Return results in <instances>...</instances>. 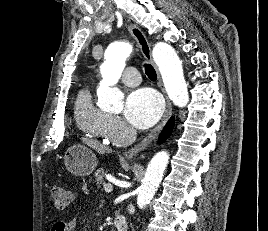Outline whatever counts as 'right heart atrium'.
<instances>
[{
    "instance_id": "1",
    "label": "right heart atrium",
    "mask_w": 268,
    "mask_h": 231,
    "mask_svg": "<svg viewBox=\"0 0 268 231\" xmlns=\"http://www.w3.org/2000/svg\"><path fill=\"white\" fill-rule=\"evenodd\" d=\"M127 130V125L120 117L111 116L108 126V141L118 142Z\"/></svg>"
}]
</instances>
